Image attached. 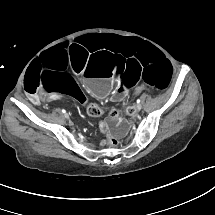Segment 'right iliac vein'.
I'll return each mask as SVG.
<instances>
[{
	"label": "right iliac vein",
	"mask_w": 215,
	"mask_h": 215,
	"mask_svg": "<svg viewBox=\"0 0 215 215\" xmlns=\"http://www.w3.org/2000/svg\"><path fill=\"white\" fill-rule=\"evenodd\" d=\"M64 116H65V118H68V114L66 113V114H64Z\"/></svg>",
	"instance_id": "63e3f726"
}]
</instances>
